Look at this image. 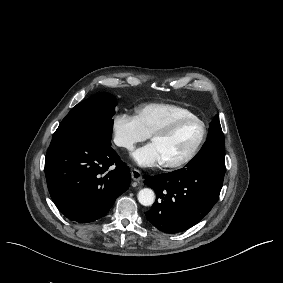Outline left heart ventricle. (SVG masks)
<instances>
[{
	"label": "left heart ventricle",
	"instance_id": "1",
	"mask_svg": "<svg viewBox=\"0 0 283 283\" xmlns=\"http://www.w3.org/2000/svg\"><path fill=\"white\" fill-rule=\"evenodd\" d=\"M201 134V125L196 121L182 123L169 138H155L163 152L165 163L184 159L197 143Z\"/></svg>",
	"mask_w": 283,
	"mask_h": 283
}]
</instances>
